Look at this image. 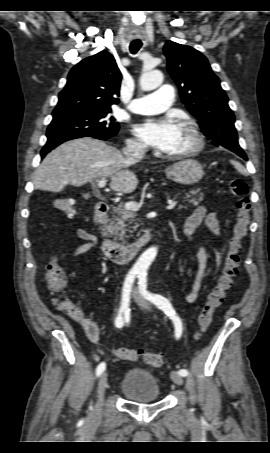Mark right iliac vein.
<instances>
[{
    "label": "right iliac vein",
    "instance_id": "1",
    "mask_svg": "<svg viewBox=\"0 0 270 453\" xmlns=\"http://www.w3.org/2000/svg\"><path fill=\"white\" fill-rule=\"evenodd\" d=\"M107 378L108 374L107 372L102 373L100 379H99V384H98V403L96 406V413L100 414L102 412V406H103V398L105 394V390L107 387Z\"/></svg>",
    "mask_w": 270,
    "mask_h": 453
}]
</instances>
